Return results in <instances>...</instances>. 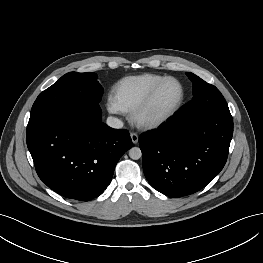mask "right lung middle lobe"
I'll return each instance as SVG.
<instances>
[{"mask_svg":"<svg viewBox=\"0 0 263 263\" xmlns=\"http://www.w3.org/2000/svg\"><path fill=\"white\" fill-rule=\"evenodd\" d=\"M103 88L93 72H69L40 93L34 102L27 131L42 126L53 116L66 112L75 114L86 104H98Z\"/></svg>","mask_w":263,"mask_h":263,"instance_id":"1","label":"right lung middle lobe"}]
</instances>
